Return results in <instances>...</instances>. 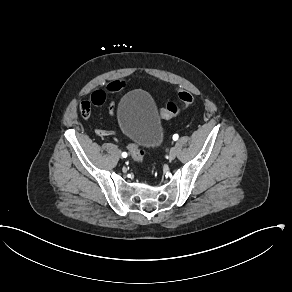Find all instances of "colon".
<instances>
[{
    "instance_id": "obj_1",
    "label": "colon",
    "mask_w": 292,
    "mask_h": 292,
    "mask_svg": "<svg viewBox=\"0 0 292 292\" xmlns=\"http://www.w3.org/2000/svg\"><path fill=\"white\" fill-rule=\"evenodd\" d=\"M179 101L170 100L165 103L164 106L160 108L159 116L162 120L171 119L177 116L181 109L188 108L193 104V97L187 92H180L178 94ZM106 100V95L104 91H98L94 95L91 101L84 100L79 106V112L82 117L86 118L91 114L92 106H100ZM127 150L131 159L137 163L141 164L144 159V151L136 144L129 143L127 145Z\"/></svg>"
}]
</instances>
